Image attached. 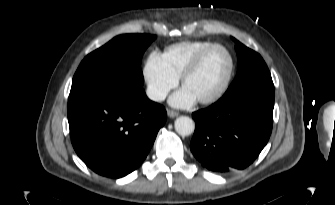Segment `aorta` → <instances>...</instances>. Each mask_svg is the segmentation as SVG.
Instances as JSON below:
<instances>
[{
    "mask_svg": "<svg viewBox=\"0 0 335 205\" xmlns=\"http://www.w3.org/2000/svg\"><path fill=\"white\" fill-rule=\"evenodd\" d=\"M176 132L181 136H189L194 132V121L187 116H180L174 122Z\"/></svg>",
    "mask_w": 335,
    "mask_h": 205,
    "instance_id": "aorta-1",
    "label": "aorta"
}]
</instances>
